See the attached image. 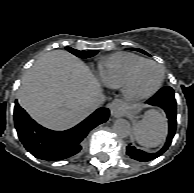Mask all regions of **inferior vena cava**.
<instances>
[{
	"mask_svg": "<svg viewBox=\"0 0 194 193\" xmlns=\"http://www.w3.org/2000/svg\"><path fill=\"white\" fill-rule=\"evenodd\" d=\"M104 101H105V96L103 94H100L97 97H95L94 99L90 100V102L88 103V107L91 110H95L99 106H101V104H103Z\"/></svg>",
	"mask_w": 194,
	"mask_h": 193,
	"instance_id": "1",
	"label": "inferior vena cava"
}]
</instances>
